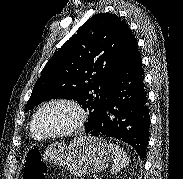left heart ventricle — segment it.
<instances>
[{"mask_svg": "<svg viewBox=\"0 0 183 179\" xmlns=\"http://www.w3.org/2000/svg\"><path fill=\"white\" fill-rule=\"evenodd\" d=\"M76 119L69 106L56 104L48 107L41 116V129L48 134L58 133L70 128Z\"/></svg>", "mask_w": 183, "mask_h": 179, "instance_id": "b2bd125f", "label": "left heart ventricle"}]
</instances>
